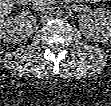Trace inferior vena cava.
Instances as JSON below:
<instances>
[{
	"label": "inferior vena cava",
	"mask_w": 111,
	"mask_h": 106,
	"mask_svg": "<svg viewBox=\"0 0 111 106\" xmlns=\"http://www.w3.org/2000/svg\"><path fill=\"white\" fill-rule=\"evenodd\" d=\"M33 8L37 12L47 13L49 10L46 0H35L33 2Z\"/></svg>",
	"instance_id": "obj_1"
}]
</instances>
